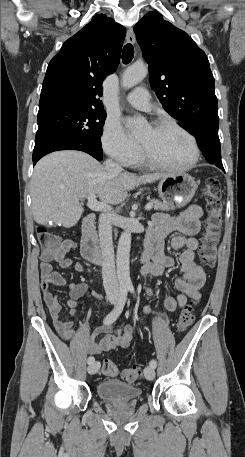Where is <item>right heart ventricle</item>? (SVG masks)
<instances>
[{
	"mask_svg": "<svg viewBox=\"0 0 245 457\" xmlns=\"http://www.w3.org/2000/svg\"><path fill=\"white\" fill-rule=\"evenodd\" d=\"M138 162H139L138 159L134 158V159L130 162V164H137Z\"/></svg>",
	"mask_w": 245,
	"mask_h": 457,
	"instance_id": "e07e8e85",
	"label": "right heart ventricle"
}]
</instances>
